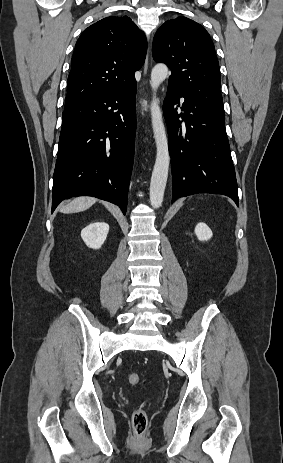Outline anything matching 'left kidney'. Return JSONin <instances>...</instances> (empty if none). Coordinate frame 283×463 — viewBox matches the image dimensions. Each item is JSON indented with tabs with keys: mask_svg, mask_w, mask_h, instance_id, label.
I'll return each mask as SVG.
<instances>
[{
	"mask_svg": "<svg viewBox=\"0 0 283 463\" xmlns=\"http://www.w3.org/2000/svg\"><path fill=\"white\" fill-rule=\"evenodd\" d=\"M195 234L200 241H207L213 236L211 229L203 222L196 225Z\"/></svg>",
	"mask_w": 283,
	"mask_h": 463,
	"instance_id": "5707ae66",
	"label": "left kidney"
}]
</instances>
